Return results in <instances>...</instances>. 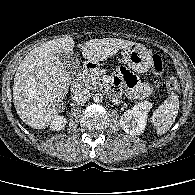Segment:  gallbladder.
<instances>
[{
  "label": "gallbladder",
  "instance_id": "bac80fb5",
  "mask_svg": "<svg viewBox=\"0 0 195 195\" xmlns=\"http://www.w3.org/2000/svg\"><path fill=\"white\" fill-rule=\"evenodd\" d=\"M59 59L64 68L73 75L80 69V61L73 52L59 54Z\"/></svg>",
  "mask_w": 195,
  "mask_h": 195
}]
</instances>
